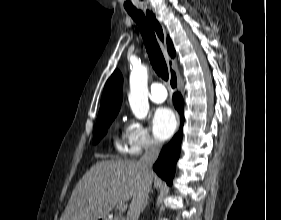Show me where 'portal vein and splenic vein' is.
<instances>
[{
    "instance_id": "portal-vein-and-splenic-vein-1",
    "label": "portal vein and splenic vein",
    "mask_w": 281,
    "mask_h": 220,
    "mask_svg": "<svg viewBox=\"0 0 281 220\" xmlns=\"http://www.w3.org/2000/svg\"><path fill=\"white\" fill-rule=\"evenodd\" d=\"M125 210H126V206L121 204L119 206V211L121 212V211H125Z\"/></svg>"
}]
</instances>
